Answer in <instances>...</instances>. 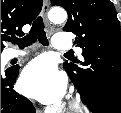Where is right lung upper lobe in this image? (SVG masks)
I'll return each instance as SVG.
<instances>
[{"label":"right lung upper lobe","instance_id":"obj_1","mask_svg":"<svg viewBox=\"0 0 121 113\" xmlns=\"http://www.w3.org/2000/svg\"><path fill=\"white\" fill-rule=\"evenodd\" d=\"M43 0H1V52L6 34H24L22 27L39 14Z\"/></svg>","mask_w":121,"mask_h":113}]
</instances>
